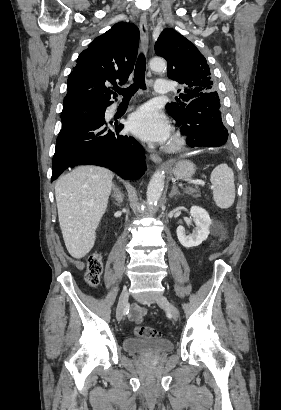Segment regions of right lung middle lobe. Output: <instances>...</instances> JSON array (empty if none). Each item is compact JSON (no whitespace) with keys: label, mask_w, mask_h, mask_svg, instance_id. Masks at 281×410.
Here are the masks:
<instances>
[{"label":"right lung middle lobe","mask_w":281,"mask_h":410,"mask_svg":"<svg viewBox=\"0 0 281 410\" xmlns=\"http://www.w3.org/2000/svg\"><path fill=\"white\" fill-rule=\"evenodd\" d=\"M105 107L91 105H74L63 107L61 113L62 129L66 130L80 122L102 117Z\"/></svg>","instance_id":"right-lung-middle-lobe-1"}]
</instances>
